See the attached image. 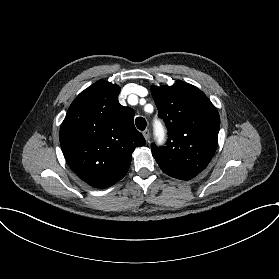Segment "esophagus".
<instances>
[{
    "mask_svg": "<svg viewBox=\"0 0 279 279\" xmlns=\"http://www.w3.org/2000/svg\"><path fill=\"white\" fill-rule=\"evenodd\" d=\"M142 134H143L145 140L147 141L149 139V136H150L149 129H145Z\"/></svg>",
    "mask_w": 279,
    "mask_h": 279,
    "instance_id": "esophagus-1",
    "label": "esophagus"
}]
</instances>
